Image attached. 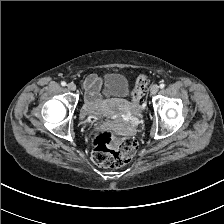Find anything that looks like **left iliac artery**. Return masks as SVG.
Wrapping results in <instances>:
<instances>
[{
	"label": "left iliac artery",
	"mask_w": 224,
	"mask_h": 224,
	"mask_svg": "<svg viewBox=\"0 0 224 224\" xmlns=\"http://www.w3.org/2000/svg\"><path fill=\"white\" fill-rule=\"evenodd\" d=\"M159 87L162 89V88L165 87V84L164 83H161Z\"/></svg>",
	"instance_id": "1"
}]
</instances>
